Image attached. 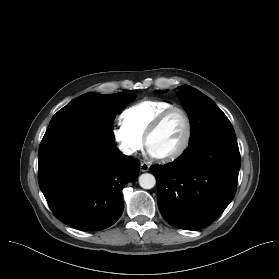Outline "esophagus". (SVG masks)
Wrapping results in <instances>:
<instances>
[{"label": "esophagus", "instance_id": "34e87169", "mask_svg": "<svg viewBox=\"0 0 279 279\" xmlns=\"http://www.w3.org/2000/svg\"><path fill=\"white\" fill-rule=\"evenodd\" d=\"M150 168V165L147 162H141L140 164V171L147 172Z\"/></svg>", "mask_w": 279, "mask_h": 279}]
</instances>
